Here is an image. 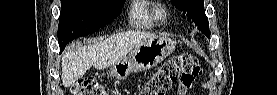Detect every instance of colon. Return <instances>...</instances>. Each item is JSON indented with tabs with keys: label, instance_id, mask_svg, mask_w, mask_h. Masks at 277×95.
<instances>
[{
	"label": "colon",
	"instance_id": "obj_1",
	"mask_svg": "<svg viewBox=\"0 0 277 95\" xmlns=\"http://www.w3.org/2000/svg\"><path fill=\"white\" fill-rule=\"evenodd\" d=\"M203 74L199 59L190 54H178L166 61L146 82L139 95H165L173 85L182 80L200 77ZM73 95H106V86L94 78L79 80L71 89Z\"/></svg>",
	"mask_w": 277,
	"mask_h": 95
}]
</instances>
